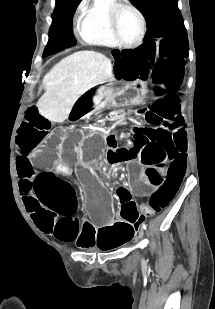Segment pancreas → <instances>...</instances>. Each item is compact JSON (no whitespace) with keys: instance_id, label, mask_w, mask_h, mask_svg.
I'll return each instance as SVG.
<instances>
[{"instance_id":"1","label":"pancreas","mask_w":215,"mask_h":309,"mask_svg":"<svg viewBox=\"0 0 215 309\" xmlns=\"http://www.w3.org/2000/svg\"><path fill=\"white\" fill-rule=\"evenodd\" d=\"M108 82V88H99L97 94L94 96V102H97V100H102V98H108L110 102H112L113 106H115V96L113 92V82L111 80H107Z\"/></svg>"}]
</instances>
